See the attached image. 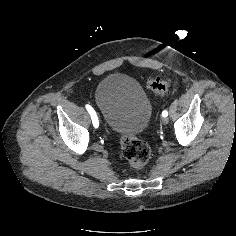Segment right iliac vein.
<instances>
[{
  "label": "right iliac vein",
  "instance_id": "obj_1",
  "mask_svg": "<svg viewBox=\"0 0 236 236\" xmlns=\"http://www.w3.org/2000/svg\"><path fill=\"white\" fill-rule=\"evenodd\" d=\"M98 114V118H99V120H100V123H101V125L103 126L104 124H103V120H102V117L99 115V113H97Z\"/></svg>",
  "mask_w": 236,
  "mask_h": 236
}]
</instances>
